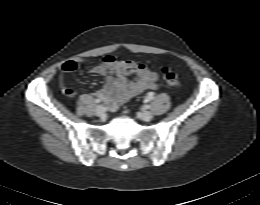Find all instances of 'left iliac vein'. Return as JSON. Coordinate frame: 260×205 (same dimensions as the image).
Listing matches in <instances>:
<instances>
[{"label": "left iliac vein", "instance_id": "left-iliac-vein-1", "mask_svg": "<svg viewBox=\"0 0 260 205\" xmlns=\"http://www.w3.org/2000/svg\"><path fill=\"white\" fill-rule=\"evenodd\" d=\"M142 120L149 122L152 119V113L149 111H144L141 113Z\"/></svg>", "mask_w": 260, "mask_h": 205}]
</instances>
